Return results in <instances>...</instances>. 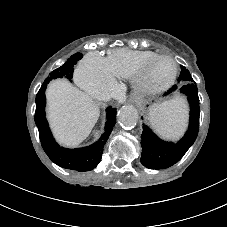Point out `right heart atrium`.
I'll list each match as a JSON object with an SVG mask.
<instances>
[{"label":"right heart atrium","instance_id":"1","mask_svg":"<svg viewBox=\"0 0 227 227\" xmlns=\"http://www.w3.org/2000/svg\"><path fill=\"white\" fill-rule=\"evenodd\" d=\"M76 80L83 90L99 99L111 96L117 86L107 59L97 52L84 57L77 69Z\"/></svg>","mask_w":227,"mask_h":227}]
</instances>
